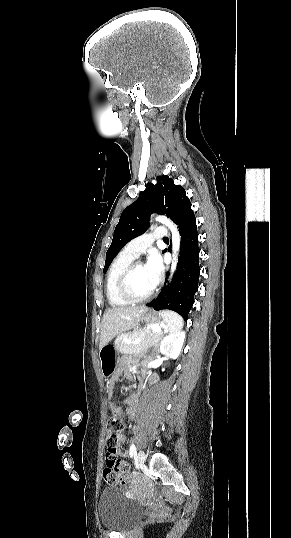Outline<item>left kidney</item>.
Returning <instances> with one entry per match:
<instances>
[{"label":"left kidney","instance_id":"left-kidney-1","mask_svg":"<svg viewBox=\"0 0 291 538\" xmlns=\"http://www.w3.org/2000/svg\"><path fill=\"white\" fill-rule=\"evenodd\" d=\"M185 340V332L178 331L164 337L160 344V353L171 359L180 355ZM165 370L164 368L162 369Z\"/></svg>","mask_w":291,"mask_h":538}]
</instances>
